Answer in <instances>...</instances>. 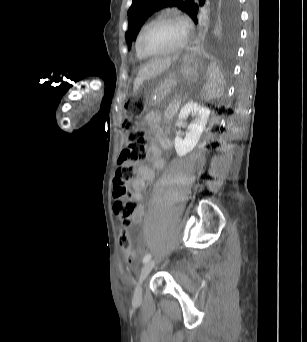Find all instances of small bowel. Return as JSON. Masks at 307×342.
Wrapping results in <instances>:
<instances>
[{
	"instance_id": "c3829d8e",
	"label": "small bowel",
	"mask_w": 307,
	"mask_h": 342,
	"mask_svg": "<svg viewBox=\"0 0 307 342\" xmlns=\"http://www.w3.org/2000/svg\"><path fill=\"white\" fill-rule=\"evenodd\" d=\"M145 124L155 135L159 141L160 147L155 143L149 145L147 153V161L154 169H162L165 162L161 156L163 150H167L171 146V141L167 133L159 127L155 120V116L149 114L145 117ZM154 180V172L146 163L137 165V176L131 181V195L136 204L135 212L132 218L133 223L138 224L142 221L145 214L144 195L143 191L147 181Z\"/></svg>"
}]
</instances>
